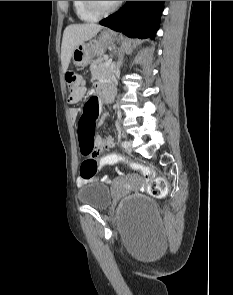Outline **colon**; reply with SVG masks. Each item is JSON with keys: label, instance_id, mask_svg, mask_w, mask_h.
I'll use <instances>...</instances> for the list:
<instances>
[{"label": "colon", "instance_id": "5ec220e1", "mask_svg": "<svg viewBox=\"0 0 233 295\" xmlns=\"http://www.w3.org/2000/svg\"><path fill=\"white\" fill-rule=\"evenodd\" d=\"M69 97L76 98L85 92L84 80L76 72L69 71L65 75ZM95 120L90 114H83L78 125L81 153L84 161L80 166V176L83 179H91L102 168L118 163H128L133 169L142 173L148 184V192L155 198H164L168 193L167 182L162 177H156L154 170L139 162L126 159L117 152L99 154L95 140Z\"/></svg>", "mask_w": 233, "mask_h": 295}]
</instances>
